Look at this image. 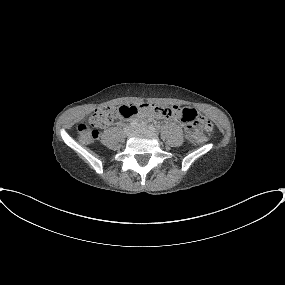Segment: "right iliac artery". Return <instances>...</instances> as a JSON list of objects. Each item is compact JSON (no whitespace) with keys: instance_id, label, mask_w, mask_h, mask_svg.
I'll return each mask as SVG.
<instances>
[{"instance_id":"82829eb1","label":"right iliac artery","mask_w":285,"mask_h":285,"mask_svg":"<svg viewBox=\"0 0 285 285\" xmlns=\"http://www.w3.org/2000/svg\"><path fill=\"white\" fill-rule=\"evenodd\" d=\"M135 125H137V122H136V121H133V122L131 123V126H135Z\"/></svg>"}]
</instances>
